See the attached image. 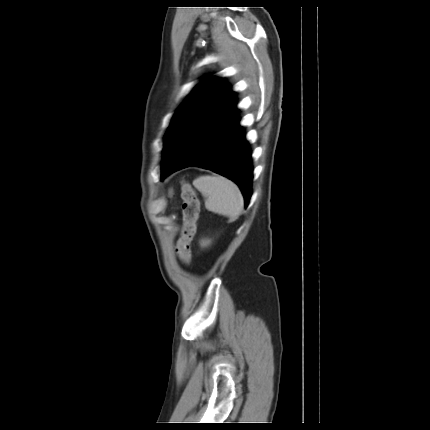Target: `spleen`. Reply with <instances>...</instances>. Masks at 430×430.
<instances>
[{
	"label": "spleen",
	"instance_id": "obj_1",
	"mask_svg": "<svg viewBox=\"0 0 430 430\" xmlns=\"http://www.w3.org/2000/svg\"><path fill=\"white\" fill-rule=\"evenodd\" d=\"M193 185L206 198L207 210L226 215H238L243 208L241 193L232 181L221 176H200Z\"/></svg>",
	"mask_w": 430,
	"mask_h": 430
}]
</instances>
